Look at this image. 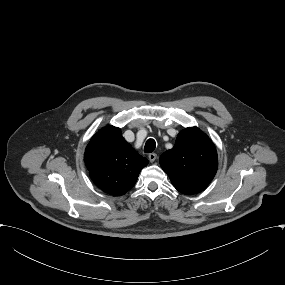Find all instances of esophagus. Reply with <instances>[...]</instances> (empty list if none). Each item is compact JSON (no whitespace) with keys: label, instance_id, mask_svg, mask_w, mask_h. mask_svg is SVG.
I'll use <instances>...</instances> for the list:
<instances>
[{"label":"esophagus","instance_id":"34e87169","mask_svg":"<svg viewBox=\"0 0 285 285\" xmlns=\"http://www.w3.org/2000/svg\"><path fill=\"white\" fill-rule=\"evenodd\" d=\"M156 157H157L156 153H150L148 156L150 162H154Z\"/></svg>","mask_w":285,"mask_h":285}]
</instances>
